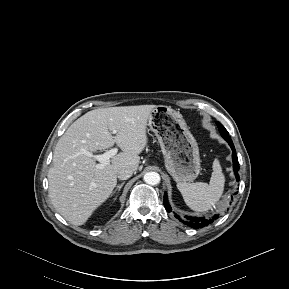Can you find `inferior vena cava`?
<instances>
[{
    "instance_id": "inferior-vena-cava-1",
    "label": "inferior vena cava",
    "mask_w": 289,
    "mask_h": 289,
    "mask_svg": "<svg viewBox=\"0 0 289 289\" xmlns=\"http://www.w3.org/2000/svg\"><path fill=\"white\" fill-rule=\"evenodd\" d=\"M133 172L134 170L131 168H123L118 171L117 177L120 180H126L132 176Z\"/></svg>"
}]
</instances>
